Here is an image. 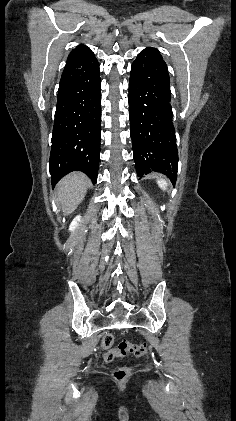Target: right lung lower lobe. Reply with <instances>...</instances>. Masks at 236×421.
Returning a JSON list of instances; mask_svg holds the SVG:
<instances>
[{
	"instance_id": "1",
	"label": "right lung lower lobe",
	"mask_w": 236,
	"mask_h": 421,
	"mask_svg": "<svg viewBox=\"0 0 236 421\" xmlns=\"http://www.w3.org/2000/svg\"><path fill=\"white\" fill-rule=\"evenodd\" d=\"M101 84L94 54L66 63L57 96L49 160L54 186L72 171L97 182L101 138Z\"/></svg>"
}]
</instances>
